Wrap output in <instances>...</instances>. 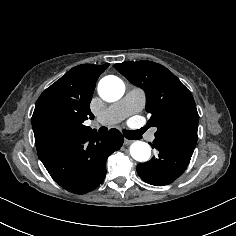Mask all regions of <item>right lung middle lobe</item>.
Here are the masks:
<instances>
[{
    "instance_id": "right-lung-middle-lobe-1",
    "label": "right lung middle lobe",
    "mask_w": 236,
    "mask_h": 236,
    "mask_svg": "<svg viewBox=\"0 0 236 236\" xmlns=\"http://www.w3.org/2000/svg\"><path fill=\"white\" fill-rule=\"evenodd\" d=\"M73 134H74V132L66 131V130H61L58 132V135L60 137L72 136Z\"/></svg>"
}]
</instances>
